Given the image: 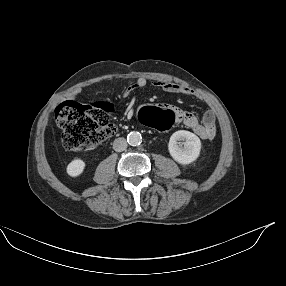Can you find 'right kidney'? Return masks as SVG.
I'll list each match as a JSON object with an SVG mask.
<instances>
[{
  "label": "right kidney",
  "mask_w": 286,
  "mask_h": 286,
  "mask_svg": "<svg viewBox=\"0 0 286 286\" xmlns=\"http://www.w3.org/2000/svg\"><path fill=\"white\" fill-rule=\"evenodd\" d=\"M85 168V162L81 159H75L67 166V173L71 177H77L81 175Z\"/></svg>",
  "instance_id": "obj_1"
}]
</instances>
